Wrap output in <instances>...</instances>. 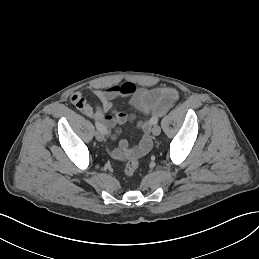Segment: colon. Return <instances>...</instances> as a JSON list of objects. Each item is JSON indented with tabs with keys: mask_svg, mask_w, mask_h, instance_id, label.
Returning <instances> with one entry per match:
<instances>
[{
	"mask_svg": "<svg viewBox=\"0 0 259 259\" xmlns=\"http://www.w3.org/2000/svg\"><path fill=\"white\" fill-rule=\"evenodd\" d=\"M139 167V161L136 158L128 160L124 167V174L128 177L132 176Z\"/></svg>",
	"mask_w": 259,
	"mask_h": 259,
	"instance_id": "5ec220e1",
	"label": "colon"
}]
</instances>
